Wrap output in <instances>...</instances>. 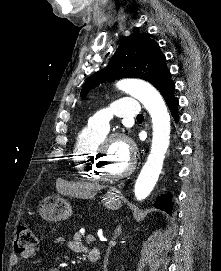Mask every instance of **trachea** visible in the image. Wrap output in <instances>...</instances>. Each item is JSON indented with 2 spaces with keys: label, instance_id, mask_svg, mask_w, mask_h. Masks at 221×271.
<instances>
[{
  "label": "trachea",
  "instance_id": "3493384b",
  "mask_svg": "<svg viewBox=\"0 0 221 271\" xmlns=\"http://www.w3.org/2000/svg\"><path fill=\"white\" fill-rule=\"evenodd\" d=\"M136 118H137V120H144V116H143V115H141V114H140V115H137V117H136Z\"/></svg>",
  "mask_w": 221,
  "mask_h": 271
}]
</instances>
